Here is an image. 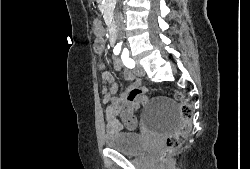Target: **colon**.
Returning <instances> with one entry per match:
<instances>
[{"mask_svg":"<svg viewBox=\"0 0 250 169\" xmlns=\"http://www.w3.org/2000/svg\"><path fill=\"white\" fill-rule=\"evenodd\" d=\"M103 50L102 42H93V53H98ZM172 92L173 93V88ZM128 95H125V100H141V102H148V97H142V95H146V90H134L128 91ZM174 101H180L179 106V114L182 117L181 123L182 126H177L176 131L169 134L168 138H166V145H164V150H160L158 166L160 169H174V164H172V155L174 150H181V145L183 140L186 139V135H190V131H192L193 122H190L193 106H189L191 104V99H187V96H182L181 92H174ZM113 115H118L120 103H113Z\"/></svg>","mask_w":250,"mask_h":169,"instance_id":"5ec220e1","label":"colon"}]
</instances>
